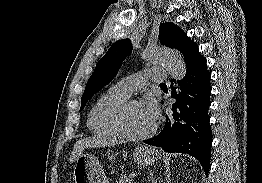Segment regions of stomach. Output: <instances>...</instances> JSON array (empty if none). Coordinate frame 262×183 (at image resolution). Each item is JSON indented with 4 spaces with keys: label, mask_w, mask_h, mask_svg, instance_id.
<instances>
[{
    "label": "stomach",
    "mask_w": 262,
    "mask_h": 183,
    "mask_svg": "<svg viewBox=\"0 0 262 183\" xmlns=\"http://www.w3.org/2000/svg\"><path fill=\"white\" fill-rule=\"evenodd\" d=\"M116 154H110L108 157L112 160ZM134 161L142 166L154 164L160 158L157 149L148 146L137 147L133 152ZM73 180L75 183H109L99 159L93 154H82L74 165Z\"/></svg>",
    "instance_id": "stomach-1"
}]
</instances>
